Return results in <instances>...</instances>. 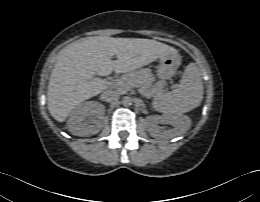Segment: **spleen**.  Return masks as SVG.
<instances>
[{"instance_id": "spleen-1", "label": "spleen", "mask_w": 260, "mask_h": 202, "mask_svg": "<svg viewBox=\"0 0 260 202\" xmlns=\"http://www.w3.org/2000/svg\"><path fill=\"white\" fill-rule=\"evenodd\" d=\"M203 99V84L198 67L190 63L178 87L153 101V108L164 115L182 114L198 107ZM185 130L181 131L184 133Z\"/></svg>"}]
</instances>
